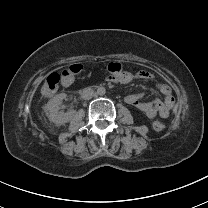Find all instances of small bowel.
Instances as JSON below:
<instances>
[{
	"label": "small bowel",
	"mask_w": 208,
	"mask_h": 208,
	"mask_svg": "<svg viewBox=\"0 0 208 208\" xmlns=\"http://www.w3.org/2000/svg\"><path fill=\"white\" fill-rule=\"evenodd\" d=\"M134 78L150 80L153 78V75L148 71L140 70L135 74L128 73L119 81L121 83H129ZM157 89L163 96V99H156L152 102H143L142 98L144 93H138L126 96L125 102L144 113L150 119H153L157 116L166 118L170 115L174 108L175 99L171 88L167 84L161 83L157 86Z\"/></svg>",
	"instance_id": "c3829d8e"
}]
</instances>
